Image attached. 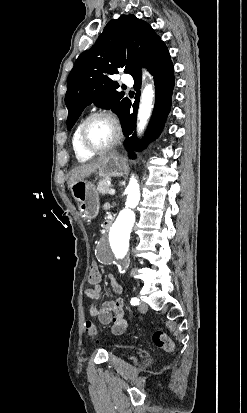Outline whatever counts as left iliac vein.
<instances>
[{
    "label": "left iliac vein",
    "mask_w": 247,
    "mask_h": 413,
    "mask_svg": "<svg viewBox=\"0 0 247 413\" xmlns=\"http://www.w3.org/2000/svg\"><path fill=\"white\" fill-rule=\"evenodd\" d=\"M138 309L141 313L146 312L147 309H148L147 304L144 301L140 300V303L138 305Z\"/></svg>",
    "instance_id": "obj_1"
}]
</instances>
